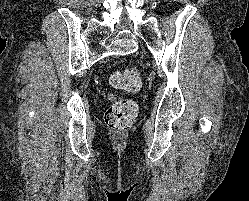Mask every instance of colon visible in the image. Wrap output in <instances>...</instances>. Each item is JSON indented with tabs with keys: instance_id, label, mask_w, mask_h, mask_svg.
I'll list each match as a JSON object with an SVG mask.
<instances>
[{
	"instance_id": "obj_1",
	"label": "colon",
	"mask_w": 249,
	"mask_h": 201,
	"mask_svg": "<svg viewBox=\"0 0 249 201\" xmlns=\"http://www.w3.org/2000/svg\"><path fill=\"white\" fill-rule=\"evenodd\" d=\"M109 80L114 88L128 92L137 91L141 86V75L134 69L115 71ZM137 111L138 107L132 100L112 99V104L105 113V124L113 131H126L133 126Z\"/></svg>"
}]
</instances>
